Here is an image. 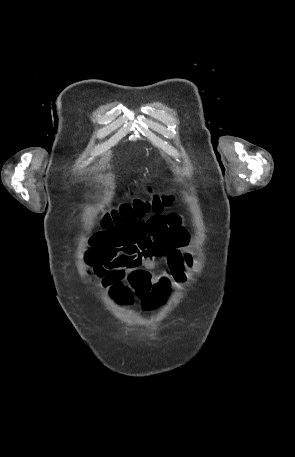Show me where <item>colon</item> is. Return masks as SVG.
Returning a JSON list of instances; mask_svg holds the SVG:
<instances>
[{
  "label": "colon",
  "instance_id": "obj_1",
  "mask_svg": "<svg viewBox=\"0 0 295 457\" xmlns=\"http://www.w3.org/2000/svg\"><path fill=\"white\" fill-rule=\"evenodd\" d=\"M169 196L155 195L150 199L134 198L131 202L123 203L105 213L102 226L111 228L121 225H130L147 213L160 212L171 204ZM140 250L135 246H128L122 253H112L101 259L94 266V273L103 278L105 283L113 285V297L119 304H128L132 300L131 291L121 285L127 270L140 263ZM166 290L165 285L150 286L145 284L137 289V296L143 299L146 308H152L158 303L160 296Z\"/></svg>",
  "mask_w": 295,
  "mask_h": 457
}]
</instances>
